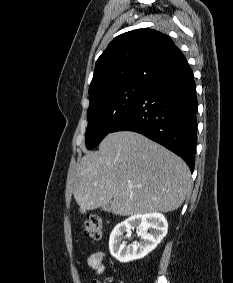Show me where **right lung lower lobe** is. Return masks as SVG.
Listing matches in <instances>:
<instances>
[{
	"instance_id": "obj_1",
	"label": "right lung lower lobe",
	"mask_w": 233,
	"mask_h": 283,
	"mask_svg": "<svg viewBox=\"0 0 233 283\" xmlns=\"http://www.w3.org/2000/svg\"><path fill=\"white\" fill-rule=\"evenodd\" d=\"M197 107L193 72L184 59L153 79L111 132L141 133L182 157L193 172Z\"/></svg>"
}]
</instances>
